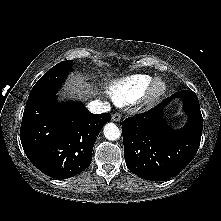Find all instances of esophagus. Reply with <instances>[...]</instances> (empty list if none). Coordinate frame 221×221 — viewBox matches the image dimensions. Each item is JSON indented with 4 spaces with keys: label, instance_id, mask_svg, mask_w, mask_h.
<instances>
[{
    "label": "esophagus",
    "instance_id": "1",
    "mask_svg": "<svg viewBox=\"0 0 221 221\" xmlns=\"http://www.w3.org/2000/svg\"><path fill=\"white\" fill-rule=\"evenodd\" d=\"M121 118H122V116H121L120 113H114V114L112 115V120H113L114 122H120V121H121Z\"/></svg>",
    "mask_w": 221,
    "mask_h": 221
}]
</instances>
